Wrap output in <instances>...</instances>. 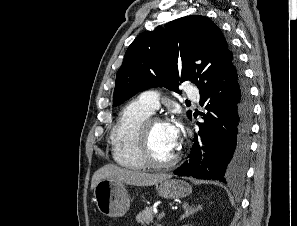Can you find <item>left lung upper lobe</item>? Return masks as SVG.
Segmentation results:
<instances>
[{
  "label": "left lung upper lobe",
  "mask_w": 297,
  "mask_h": 226,
  "mask_svg": "<svg viewBox=\"0 0 297 226\" xmlns=\"http://www.w3.org/2000/svg\"><path fill=\"white\" fill-rule=\"evenodd\" d=\"M240 72L221 30L207 17L186 16L135 38L117 72L114 106L151 87L178 92L181 82L198 88L231 81ZM191 118L192 112H187Z\"/></svg>",
  "instance_id": "obj_1"
}]
</instances>
